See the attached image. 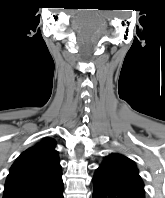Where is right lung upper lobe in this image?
I'll use <instances>...</instances> for the list:
<instances>
[{"instance_id": "obj_1", "label": "right lung upper lobe", "mask_w": 165, "mask_h": 198, "mask_svg": "<svg viewBox=\"0 0 165 198\" xmlns=\"http://www.w3.org/2000/svg\"><path fill=\"white\" fill-rule=\"evenodd\" d=\"M62 189L55 141L48 138L16 159L7 177L3 198H51Z\"/></svg>"}]
</instances>
